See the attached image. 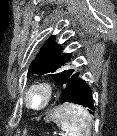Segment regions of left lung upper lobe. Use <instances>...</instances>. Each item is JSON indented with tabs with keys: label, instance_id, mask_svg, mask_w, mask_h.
Listing matches in <instances>:
<instances>
[{
	"label": "left lung upper lobe",
	"instance_id": "left-lung-upper-lobe-1",
	"mask_svg": "<svg viewBox=\"0 0 117 136\" xmlns=\"http://www.w3.org/2000/svg\"><path fill=\"white\" fill-rule=\"evenodd\" d=\"M62 47L50 37L30 65L28 75H49L64 88L75 69H65L72 65V53H62Z\"/></svg>",
	"mask_w": 117,
	"mask_h": 136
}]
</instances>
